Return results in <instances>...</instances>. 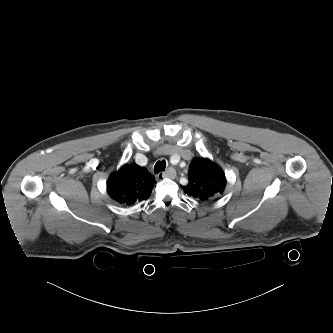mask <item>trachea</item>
I'll use <instances>...</instances> for the list:
<instances>
[{"label": "trachea", "instance_id": "obj_1", "mask_svg": "<svg viewBox=\"0 0 333 333\" xmlns=\"http://www.w3.org/2000/svg\"><path fill=\"white\" fill-rule=\"evenodd\" d=\"M166 168V162L165 160L158 161L154 166V173L158 174L161 171H164Z\"/></svg>", "mask_w": 333, "mask_h": 333}]
</instances>
